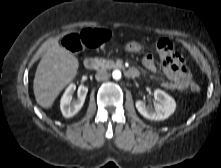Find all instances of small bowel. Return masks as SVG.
Wrapping results in <instances>:
<instances>
[{
	"label": "small bowel",
	"mask_w": 221,
	"mask_h": 168,
	"mask_svg": "<svg viewBox=\"0 0 221 168\" xmlns=\"http://www.w3.org/2000/svg\"><path fill=\"white\" fill-rule=\"evenodd\" d=\"M162 59L164 73L169 82L162 86L169 90H185L190 86L191 74L188 68L187 60L180 54L173 52L167 56L160 55ZM143 66L151 72L156 70L154 58L147 54L142 59Z\"/></svg>",
	"instance_id": "small-bowel-1"
}]
</instances>
